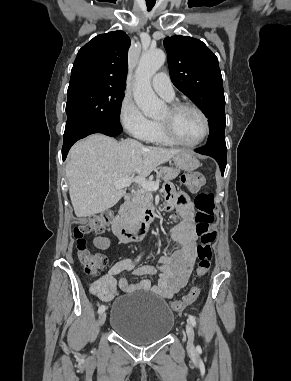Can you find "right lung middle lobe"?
I'll return each mask as SVG.
<instances>
[{"label":"right lung middle lobe","mask_w":291,"mask_h":381,"mask_svg":"<svg viewBox=\"0 0 291 381\" xmlns=\"http://www.w3.org/2000/svg\"><path fill=\"white\" fill-rule=\"evenodd\" d=\"M124 90L88 83L69 84L64 138H76L99 125L119 123Z\"/></svg>","instance_id":"right-lung-middle-lobe-1"}]
</instances>
